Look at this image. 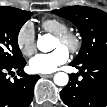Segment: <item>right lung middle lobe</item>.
Masks as SVG:
<instances>
[{"mask_svg": "<svg viewBox=\"0 0 107 107\" xmlns=\"http://www.w3.org/2000/svg\"><path fill=\"white\" fill-rule=\"evenodd\" d=\"M32 12L13 7H0V63L12 65L24 60L17 38L22 25Z\"/></svg>", "mask_w": 107, "mask_h": 107, "instance_id": "right-lung-middle-lobe-1", "label": "right lung middle lobe"}]
</instances>
